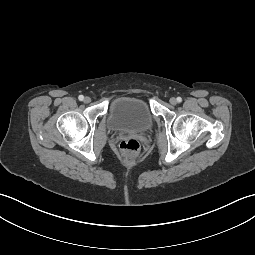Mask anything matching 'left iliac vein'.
<instances>
[{"label": "left iliac vein", "instance_id": "obj_1", "mask_svg": "<svg viewBox=\"0 0 255 255\" xmlns=\"http://www.w3.org/2000/svg\"><path fill=\"white\" fill-rule=\"evenodd\" d=\"M169 102H170L172 105H176L177 100H176L174 97H172V98H170Z\"/></svg>", "mask_w": 255, "mask_h": 255}]
</instances>
